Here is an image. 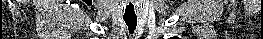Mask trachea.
I'll return each instance as SVG.
<instances>
[{
	"label": "trachea",
	"instance_id": "1",
	"mask_svg": "<svg viewBox=\"0 0 263 39\" xmlns=\"http://www.w3.org/2000/svg\"><path fill=\"white\" fill-rule=\"evenodd\" d=\"M124 21L128 26L129 33L133 34L137 26V18H124Z\"/></svg>",
	"mask_w": 263,
	"mask_h": 39
}]
</instances>
